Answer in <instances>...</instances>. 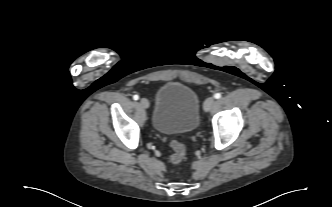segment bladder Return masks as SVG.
Returning <instances> with one entry per match:
<instances>
[{
  "mask_svg": "<svg viewBox=\"0 0 332 207\" xmlns=\"http://www.w3.org/2000/svg\"><path fill=\"white\" fill-rule=\"evenodd\" d=\"M200 100L190 86L168 82L156 92L153 128L165 135L192 133L199 125Z\"/></svg>",
  "mask_w": 332,
  "mask_h": 207,
  "instance_id": "31cf9c89",
  "label": "bladder"
}]
</instances>
